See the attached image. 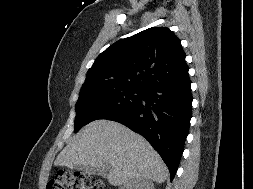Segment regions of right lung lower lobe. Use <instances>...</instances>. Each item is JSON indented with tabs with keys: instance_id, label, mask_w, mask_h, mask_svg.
Segmentation results:
<instances>
[{
	"instance_id": "98d812e1",
	"label": "right lung lower lobe",
	"mask_w": 253,
	"mask_h": 189,
	"mask_svg": "<svg viewBox=\"0 0 253 189\" xmlns=\"http://www.w3.org/2000/svg\"><path fill=\"white\" fill-rule=\"evenodd\" d=\"M191 81L153 86L133 107L106 119L119 122L141 134L160 154L173 180L192 117Z\"/></svg>"
}]
</instances>
